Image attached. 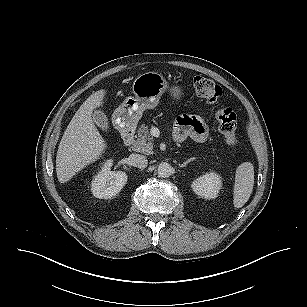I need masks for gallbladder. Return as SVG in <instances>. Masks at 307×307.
<instances>
[{"instance_id": "bac80fb5", "label": "gallbladder", "mask_w": 307, "mask_h": 307, "mask_svg": "<svg viewBox=\"0 0 307 307\" xmlns=\"http://www.w3.org/2000/svg\"><path fill=\"white\" fill-rule=\"evenodd\" d=\"M93 120L103 131L109 130V121L104 112L96 110L93 114Z\"/></svg>"}]
</instances>
